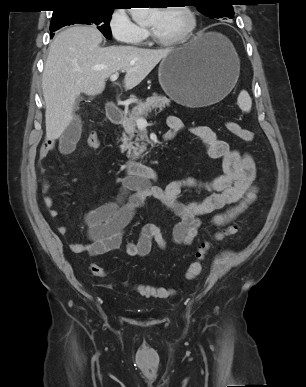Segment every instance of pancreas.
Returning a JSON list of instances; mask_svg holds the SVG:
<instances>
[{
  "mask_svg": "<svg viewBox=\"0 0 306 387\" xmlns=\"http://www.w3.org/2000/svg\"><path fill=\"white\" fill-rule=\"evenodd\" d=\"M169 104L170 99L156 93L148 97L145 102L137 101L132 111L125 115L123 120L125 133L121 138V152L127 151V157L133 160L143 158L147 149L146 142H149V140L146 131L140 132L136 129L135 120L138 117H147L152 111H155V113L161 112ZM133 138H135L134 141Z\"/></svg>",
  "mask_w": 306,
  "mask_h": 387,
  "instance_id": "1",
  "label": "pancreas"
}]
</instances>
